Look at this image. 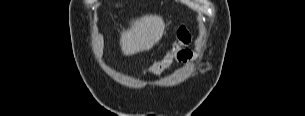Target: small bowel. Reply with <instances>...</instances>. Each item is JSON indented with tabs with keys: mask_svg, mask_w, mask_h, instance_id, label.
Returning <instances> with one entry per match:
<instances>
[{
	"mask_svg": "<svg viewBox=\"0 0 305 116\" xmlns=\"http://www.w3.org/2000/svg\"><path fill=\"white\" fill-rule=\"evenodd\" d=\"M193 58V53L189 50L185 51V54L178 59L179 62L185 64Z\"/></svg>",
	"mask_w": 305,
	"mask_h": 116,
	"instance_id": "1",
	"label": "small bowel"
}]
</instances>
